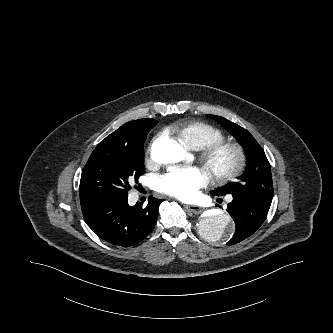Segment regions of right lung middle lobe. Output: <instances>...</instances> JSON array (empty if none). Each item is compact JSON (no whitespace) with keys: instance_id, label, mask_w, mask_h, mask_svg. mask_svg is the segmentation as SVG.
I'll return each instance as SVG.
<instances>
[{"instance_id":"obj_1","label":"right lung middle lobe","mask_w":333,"mask_h":333,"mask_svg":"<svg viewBox=\"0 0 333 333\" xmlns=\"http://www.w3.org/2000/svg\"><path fill=\"white\" fill-rule=\"evenodd\" d=\"M139 120L142 122V136L136 148L132 150L103 148L91 154L81 175L80 202L128 196L127 193L131 188L129 181L137 182L144 174L143 144L148 132L158 121Z\"/></svg>"}]
</instances>
